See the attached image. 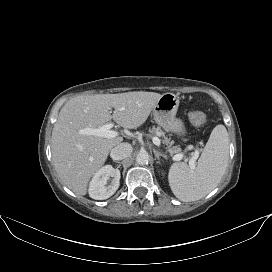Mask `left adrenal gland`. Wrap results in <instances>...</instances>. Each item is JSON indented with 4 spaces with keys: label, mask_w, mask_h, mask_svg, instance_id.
<instances>
[{
    "label": "left adrenal gland",
    "mask_w": 272,
    "mask_h": 272,
    "mask_svg": "<svg viewBox=\"0 0 272 272\" xmlns=\"http://www.w3.org/2000/svg\"><path fill=\"white\" fill-rule=\"evenodd\" d=\"M153 152H154V154H155V157L157 158V163H160V157H163V158H165V159H167V156L165 155V154H163V153H161V152H159V151H157V150H153Z\"/></svg>",
    "instance_id": "obj_1"
}]
</instances>
